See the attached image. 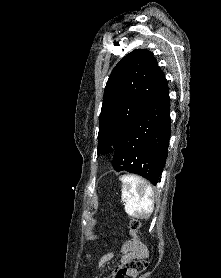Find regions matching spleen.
Instances as JSON below:
<instances>
[{
    "instance_id": "1",
    "label": "spleen",
    "mask_w": 221,
    "mask_h": 278,
    "mask_svg": "<svg viewBox=\"0 0 221 278\" xmlns=\"http://www.w3.org/2000/svg\"><path fill=\"white\" fill-rule=\"evenodd\" d=\"M120 181L125 212L133 218L150 217L154 210V193L151 186L134 175H123Z\"/></svg>"
}]
</instances>
